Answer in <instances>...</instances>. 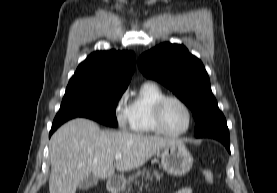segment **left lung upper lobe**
Returning <instances> with one entry per match:
<instances>
[{
  "label": "left lung upper lobe",
  "mask_w": 277,
  "mask_h": 193,
  "mask_svg": "<svg viewBox=\"0 0 277 193\" xmlns=\"http://www.w3.org/2000/svg\"><path fill=\"white\" fill-rule=\"evenodd\" d=\"M142 73L168 87L193 112L195 136L227 125L202 62L183 45L163 43L140 56Z\"/></svg>",
  "instance_id": "5c2ea615"
}]
</instances>
